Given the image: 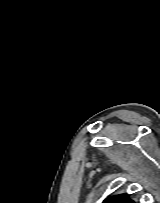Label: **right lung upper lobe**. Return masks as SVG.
<instances>
[{"label":"right lung upper lobe","instance_id":"1","mask_svg":"<svg viewBox=\"0 0 160 203\" xmlns=\"http://www.w3.org/2000/svg\"><path fill=\"white\" fill-rule=\"evenodd\" d=\"M103 203H134V201L128 199L125 195H118L105 199Z\"/></svg>","mask_w":160,"mask_h":203}]
</instances>
